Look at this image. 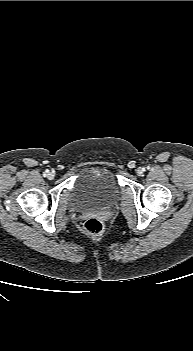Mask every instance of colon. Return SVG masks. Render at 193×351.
Returning <instances> with one entry per match:
<instances>
[{"label":"colon","mask_w":193,"mask_h":351,"mask_svg":"<svg viewBox=\"0 0 193 351\" xmlns=\"http://www.w3.org/2000/svg\"><path fill=\"white\" fill-rule=\"evenodd\" d=\"M83 230L91 236H99L104 230V223L97 217H91L83 223Z\"/></svg>","instance_id":"1"}]
</instances>
